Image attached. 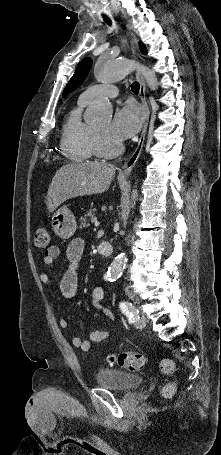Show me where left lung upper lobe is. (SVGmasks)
I'll list each match as a JSON object with an SVG mask.
<instances>
[{"mask_svg": "<svg viewBox=\"0 0 221 455\" xmlns=\"http://www.w3.org/2000/svg\"><path fill=\"white\" fill-rule=\"evenodd\" d=\"M140 49L143 53H146V48L142 43H140ZM91 65H92V60H91V58H88V57L82 59L79 62L74 75L72 76V78L70 79V81L68 82L67 86L64 89L63 97H65L67 94L74 91L76 88H78L81 85L83 80L86 78V76L91 68Z\"/></svg>", "mask_w": 221, "mask_h": 455, "instance_id": "left-lung-upper-lobe-1", "label": "left lung upper lobe"}]
</instances>
